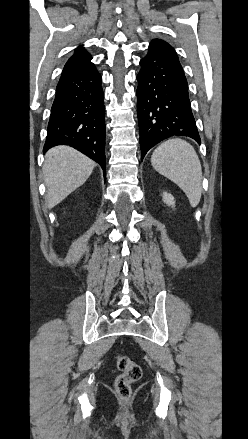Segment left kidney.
I'll return each mask as SVG.
<instances>
[{
	"label": "left kidney",
	"instance_id": "obj_1",
	"mask_svg": "<svg viewBox=\"0 0 248 439\" xmlns=\"http://www.w3.org/2000/svg\"><path fill=\"white\" fill-rule=\"evenodd\" d=\"M163 201H164V203L166 205L175 207L174 197L171 194L167 193V192L163 193Z\"/></svg>",
	"mask_w": 248,
	"mask_h": 439
}]
</instances>
